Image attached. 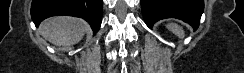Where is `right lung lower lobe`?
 Segmentation results:
<instances>
[{"label": "right lung lower lobe", "instance_id": "1", "mask_svg": "<svg viewBox=\"0 0 244 73\" xmlns=\"http://www.w3.org/2000/svg\"><path fill=\"white\" fill-rule=\"evenodd\" d=\"M103 0H33L31 17L36 27L50 16L70 15L85 19L94 34L102 21Z\"/></svg>", "mask_w": 244, "mask_h": 73}]
</instances>
